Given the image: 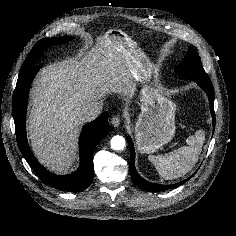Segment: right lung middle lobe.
Masks as SVG:
<instances>
[{"mask_svg":"<svg viewBox=\"0 0 236 236\" xmlns=\"http://www.w3.org/2000/svg\"><path fill=\"white\" fill-rule=\"evenodd\" d=\"M71 40V37H62L56 39L44 38L38 41L30 53L28 54L27 58L25 59L20 72L24 71L25 69L34 66V64L39 60L42 56L43 52L52 45L63 44Z\"/></svg>","mask_w":236,"mask_h":236,"instance_id":"1","label":"right lung middle lobe"}]
</instances>
